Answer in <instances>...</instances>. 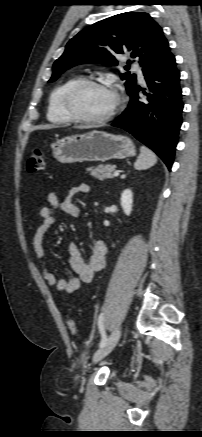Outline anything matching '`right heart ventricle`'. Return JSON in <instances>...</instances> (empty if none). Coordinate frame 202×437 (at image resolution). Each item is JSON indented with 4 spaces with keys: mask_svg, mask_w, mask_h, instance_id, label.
<instances>
[{
    "mask_svg": "<svg viewBox=\"0 0 202 437\" xmlns=\"http://www.w3.org/2000/svg\"><path fill=\"white\" fill-rule=\"evenodd\" d=\"M81 80V77H71L60 85H58L50 94L47 106V119L54 124H67L73 120L70 119L62 108V99L65 92L77 81Z\"/></svg>",
    "mask_w": 202,
    "mask_h": 437,
    "instance_id": "1",
    "label": "right heart ventricle"
}]
</instances>
